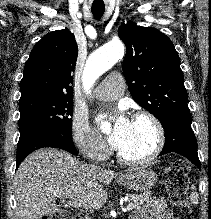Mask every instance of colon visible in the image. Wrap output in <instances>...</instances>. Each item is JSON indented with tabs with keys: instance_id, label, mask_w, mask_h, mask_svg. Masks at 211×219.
<instances>
[{
	"instance_id": "obj_1",
	"label": "colon",
	"mask_w": 211,
	"mask_h": 219,
	"mask_svg": "<svg viewBox=\"0 0 211 219\" xmlns=\"http://www.w3.org/2000/svg\"><path fill=\"white\" fill-rule=\"evenodd\" d=\"M189 166L184 161H176L166 172V187L169 193L173 219H191V209L187 200L189 185ZM42 219H69L55 215L45 216Z\"/></svg>"
}]
</instances>
